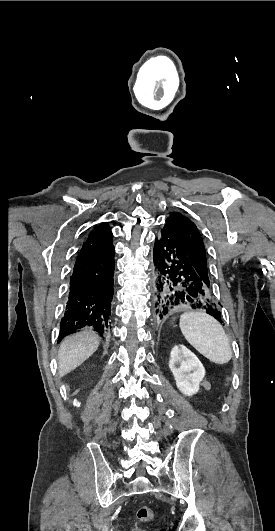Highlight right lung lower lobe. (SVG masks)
<instances>
[{"mask_svg": "<svg viewBox=\"0 0 275 531\" xmlns=\"http://www.w3.org/2000/svg\"><path fill=\"white\" fill-rule=\"evenodd\" d=\"M114 254L110 228L97 226L75 261L66 312L60 323V340L87 326L101 335L110 328Z\"/></svg>", "mask_w": 275, "mask_h": 531, "instance_id": "98d812e1", "label": "right lung lower lobe"}]
</instances>
